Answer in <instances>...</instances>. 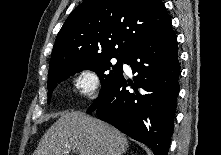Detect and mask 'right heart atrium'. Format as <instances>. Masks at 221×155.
Masks as SVG:
<instances>
[{
	"mask_svg": "<svg viewBox=\"0 0 221 155\" xmlns=\"http://www.w3.org/2000/svg\"><path fill=\"white\" fill-rule=\"evenodd\" d=\"M73 85L78 95L93 97L99 89V78L91 69H82L76 73Z\"/></svg>",
	"mask_w": 221,
	"mask_h": 155,
	"instance_id": "1",
	"label": "right heart atrium"
}]
</instances>
